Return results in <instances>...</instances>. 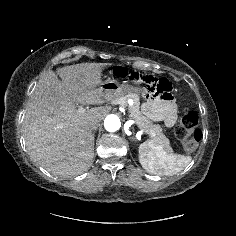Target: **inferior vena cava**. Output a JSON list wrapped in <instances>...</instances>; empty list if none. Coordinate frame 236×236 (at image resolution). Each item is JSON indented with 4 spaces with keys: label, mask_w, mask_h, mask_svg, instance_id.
Here are the masks:
<instances>
[{
    "label": "inferior vena cava",
    "mask_w": 236,
    "mask_h": 236,
    "mask_svg": "<svg viewBox=\"0 0 236 236\" xmlns=\"http://www.w3.org/2000/svg\"><path fill=\"white\" fill-rule=\"evenodd\" d=\"M100 126V122L97 120H92L89 122V128L91 130H96Z\"/></svg>",
    "instance_id": "inferior-vena-cava-1"
}]
</instances>
